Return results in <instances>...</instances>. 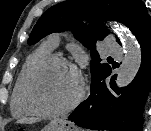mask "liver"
Segmentation results:
<instances>
[{"instance_id":"obj_1","label":"liver","mask_w":151,"mask_h":131,"mask_svg":"<svg viewBox=\"0 0 151 131\" xmlns=\"http://www.w3.org/2000/svg\"><path fill=\"white\" fill-rule=\"evenodd\" d=\"M34 121H35V119L21 118L17 121V123L34 122Z\"/></svg>"}]
</instances>
